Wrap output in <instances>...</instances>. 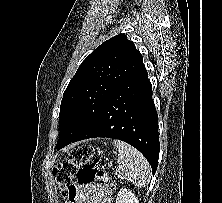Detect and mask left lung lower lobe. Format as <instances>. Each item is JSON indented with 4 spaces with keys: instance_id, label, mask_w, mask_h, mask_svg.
<instances>
[{
    "instance_id": "obj_1",
    "label": "left lung lower lobe",
    "mask_w": 222,
    "mask_h": 203,
    "mask_svg": "<svg viewBox=\"0 0 222 203\" xmlns=\"http://www.w3.org/2000/svg\"><path fill=\"white\" fill-rule=\"evenodd\" d=\"M94 137L118 139L132 145L148 160L153 174L156 172L160 150L158 116L143 61L72 142Z\"/></svg>"
}]
</instances>
